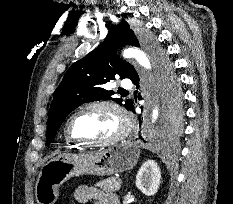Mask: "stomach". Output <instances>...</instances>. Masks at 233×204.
Masks as SVG:
<instances>
[{
  "mask_svg": "<svg viewBox=\"0 0 233 204\" xmlns=\"http://www.w3.org/2000/svg\"><path fill=\"white\" fill-rule=\"evenodd\" d=\"M139 157L140 149L131 141L89 154L55 157L41 168L35 186L36 201L38 204H54L58 200L60 186L70 178L124 172L132 169Z\"/></svg>",
  "mask_w": 233,
  "mask_h": 204,
  "instance_id": "obj_1",
  "label": "stomach"
}]
</instances>
